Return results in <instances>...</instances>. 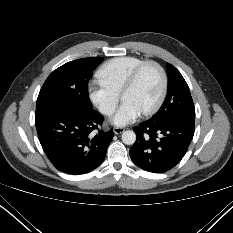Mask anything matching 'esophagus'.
Listing matches in <instances>:
<instances>
[{
    "mask_svg": "<svg viewBox=\"0 0 233 233\" xmlns=\"http://www.w3.org/2000/svg\"><path fill=\"white\" fill-rule=\"evenodd\" d=\"M124 128H122V127H115L114 129H113V131H114V133L115 134H121L122 132H124Z\"/></svg>",
    "mask_w": 233,
    "mask_h": 233,
    "instance_id": "obj_1",
    "label": "esophagus"
}]
</instances>
